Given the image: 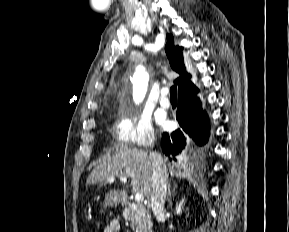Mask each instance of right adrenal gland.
<instances>
[{"instance_id": "1", "label": "right adrenal gland", "mask_w": 289, "mask_h": 232, "mask_svg": "<svg viewBox=\"0 0 289 232\" xmlns=\"http://www.w3.org/2000/svg\"><path fill=\"white\" fill-rule=\"evenodd\" d=\"M176 188V185L174 187V190ZM170 198H171V186L170 184L168 185V195H167V201L170 202Z\"/></svg>"}]
</instances>
